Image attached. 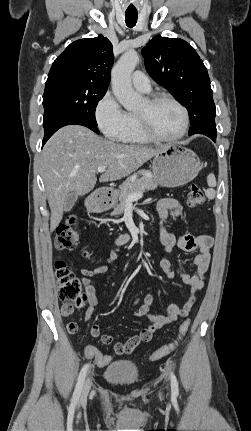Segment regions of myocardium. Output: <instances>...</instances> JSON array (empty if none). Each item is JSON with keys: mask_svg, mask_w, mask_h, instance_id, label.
Listing matches in <instances>:
<instances>
[{"mask_svg": "<svg viewBox=\"0 0 251 431\" xmlns=\"http://www.w3.org/2000/svg\"><path fill=\"white\" fill-rule=\"evenodd\" d=\"M163 101H168V102L175 104L180 109V111L182 112V116H183L182 127H181V130L179 131V133L176 134L175 136L162 137L154 131V129L152 128V126L149 122V119L145 115L136 114V117H137V121H138V124H139V127H140L142 133L149 140L154 141V142H160V143H173V142H176V141L182 139L186 135L188 128H189V123H190L189 112L182 102H180L178 99H176L175 97H173L169 94L158 93V94H155V95H153L147 99V102L150 106H155L158 103L163 102Z\"/></svg>", "mask_w": 251, "mask_h": 431, "instance_id": "1", "label": "myocardium"}]
</instances>
